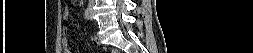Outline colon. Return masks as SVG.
<instances>
[{"instance_id":"5ec220e1","label":"colon","mask_w":253,"mask_h":53,"mask_svg":"<svg viewBox=\"0 0 253 53\" xmlns=\"http://www.w3.org/2000/svg\"><path fill=\"white\" fill-rule=\"evenodd\" d=\"M93 44L98 45V44H99V43H98V40L94 39V40H93Z\"/></svg>"}]
</instances>
